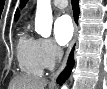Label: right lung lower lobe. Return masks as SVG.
<instances>
[{"instance_id": "98d812e1", "label": "right lung lower lobe", "mask_w": 107, "mask_h": 89, "mask_svg": "<svg viewBox=\"0 0 107 89\" xmlns=\"http://www.w3.org/2000/svg\"><path fill=\"white\" fill-rule=\"evenodd\" d=\"M72 1V8L74 13V18L77 21L78 15H79V5L78 0H71ZM74 66V49L71 51L70 56L68 58L67 66L62 71V73L59 75L57 79V83L60 85L67 79V77L70 75V72Z\"/></svg>"}]
</instances>
